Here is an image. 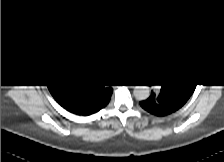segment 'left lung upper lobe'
<instances>
[{
  "label": "left lung upper lobe",
  "mask_w": 224,
  "mask_h": 162,
  "mask_svg": "<svg viewBox=\"0 0 224 162\" xmlns=\"http://www.w3.org/2000/svg\"><path fill=\"white\" fill-rule=\"evenodd\" d=\"M197 80L190 74H182L174 68L164 80V87L184 88L188 92L193 93Z\"/></svg>",
  "instance_id": "left-lung-upper-lobe-1"
}]
</instances>
